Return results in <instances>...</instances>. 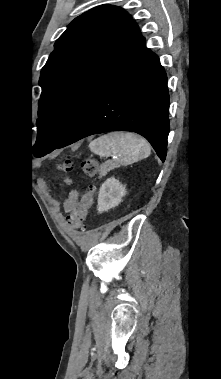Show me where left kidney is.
I'll list each match as a JSON object with an SVG mask.
<instances>
[{"mask_svg": "<svg viewBox=\"0 0 221 379\" xmlns=\"http://www.w3.org/2000/svg\"><path fill=\"white\" fill-rule=\"evenodd\" d=\"M126 194L125 186H123L115 178L107 179L100 187L98 195L97 210L99 213L108 211L122 202L123 196Z\"/></svg>", "mask_w": 221, "mask_h": 379, "instance_id": "left-kidney-1", "label": "left kidney"}]
</instances>
